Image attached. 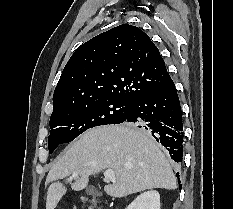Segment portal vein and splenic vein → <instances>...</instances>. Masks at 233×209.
<instances>
[{
  "instance_id": "portal-vein-and-splenic-vein-1",
  "label": "portal vein and splenic vein",
  "mask_w": 233,
  "mask_h": 209,
  "mask_svg": "<svg viewBox=\"0 0 233 209\" xmlns=\"http://www.w3.org/2000/svg\"><path fill=\"white\" fill-rule=\"evenodd\" d=\"M75 175H72L70 176V180L72 179H75ZM104 177H105V180H110L112 181L113 183L115 182V173L112 169H107L105 172H104Z\"/></svg>"
}]
</instances>
